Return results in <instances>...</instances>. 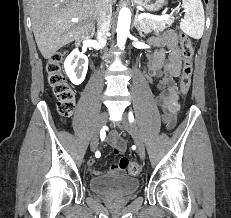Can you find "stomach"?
I'll list each match as a JSON object with an SVG mask.
<instances>
[{
  "instance_id": "stomach-1",
  "label": "stomach",
  "mask_w": 231,
  "mask_h": 218,
  "mask_svg": "<svg viewBox=\"0 0 231 218\" xmlns=\"http://www.w3.org/2000/svg\"><path fill=\"white\" fill-rule=\"evenodd\" d=\"M133 2L149 12H157L164 6L166 0H133Z\"/></svg>"
}]
</instances>
